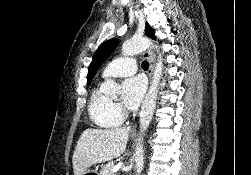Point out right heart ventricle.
Returning <instances> with one entry per match:
<instances>
[{"mask_svg": "<svg viewBox=\"0 0 251 175\" xmlns=\"http://www.w3.org/2000/svg\"><path fill=\"white\" fill-rule=\"evenodd\" d=\"M87 111L91 121L98 127L114 128L120 124L113 105L102 95L99 86L93 87L91 91Z\"/></svg>", "mask_w": 251, "mask_h": 175, "instance_id": "e07e8e85", "label": "right heart ventricle"}]
</instances>
